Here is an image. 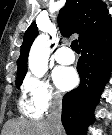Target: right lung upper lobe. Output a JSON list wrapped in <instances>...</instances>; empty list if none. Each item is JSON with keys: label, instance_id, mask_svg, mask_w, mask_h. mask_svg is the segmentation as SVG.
<instances>
[{"label": "right lung upper lobe", "instance_id": "obj_1", "mask_svg": "<svg viewBox=\"0 0 112 135\" xmlns=\"http://www.w3.org/2000/svg\"><path fill=\"white\" fill-rule=\"evenodd\" d=\"M58 26L63 36L79 34V44H84L112 29V19L106 4L101 0H66L59 11ZM38 35L35 22L24 34L18 59L17 78H24L27 72V58L32 42Z\"/></svg>", "mask_w": 112, "mask_h": 135}]
</instances>
